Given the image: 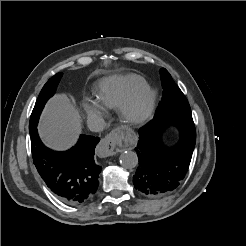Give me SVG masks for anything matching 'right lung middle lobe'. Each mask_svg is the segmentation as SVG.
Masks as SVG:
<instances>
[{
  "instance_id": "obj_1",
  "label": "right lung middle lobe",
  "mask_w": 246,
  "mask_h": 246,
  "mask_svg": "<svg viewBox=\"0 0 246 246\" xmlns=\"http://www.w3.org/2000/svg\"><path fill=\"white\" fill-rule=\"evenodd\" d=\"M61 76L62 73L55 74L47 81V83L44 85L43 89L41 90L30 117L29 130L37 126L44 105L48 101V99L54 95L56 91V87L61 79Z\"/></svg>"
}]
</instances>
